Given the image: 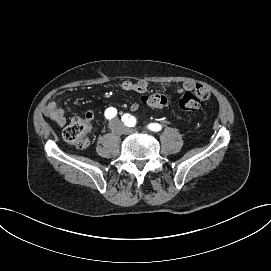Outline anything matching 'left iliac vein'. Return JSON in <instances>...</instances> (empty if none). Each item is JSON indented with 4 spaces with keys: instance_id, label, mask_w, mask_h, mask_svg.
Wrapping results in <instances>:
<instances>
[{
    "instance_id": "obj_1",
    "label": "left iliac vein",
    "mask_w": 271,
    "mask_h": 271,
    "mask_svg": "<svg viewBox=\"0 0 271 271\" xmlns=\"http://www.w3.org/2000/svg\"><path fill=\"white\" fill-rule=\"evenodd\" d=\"M127 132H128V133H135V132H136V130H135V129H130V128H127Z\"/></svg>"
}]
</instances>
